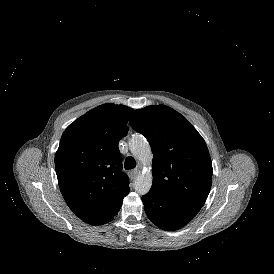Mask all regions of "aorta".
I'll return each instance as SVG.
<instances>
[{"label":"aorta","mask_w":274,"mask_h":274,"mask_svg":"<svg viewBox=\"0 0 274 274\" xmlns=\"http://www.w3.org/2000/svg\"><path fill=\"white\" fill-rule=\"evenodd\" d=\"M129 148L131 153L143 164L150 165L152 163L151 147L143 135H134L129 140ZM152 180L153 177L150 171L139 173L133 184L135 191L141 195L147 194L151 189Z\"/></svg>","instance_id":"762f6f07"}]
</instances>
